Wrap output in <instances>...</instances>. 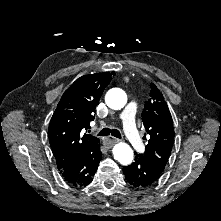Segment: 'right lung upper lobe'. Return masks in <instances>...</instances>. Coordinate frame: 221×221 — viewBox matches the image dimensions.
<instances>
[{
	"label": "right lung upper lobe",
	"instance_id": "1",
	"mask_svg": "<svg viewBox=\"0 0 221 221\" xmlns=\"http://www.w3.org/2000/svg\"><path fill=\"white\" fill-rule=\"evenodd\" d=\"M114 74L84 75L62 95L48 128L49 142L59 170L99 141L82 131L87 130L94 120L95 108Z\"/></svg>",
	"mask_w": 221,
	"mask_h": 221
}]
</instances>
